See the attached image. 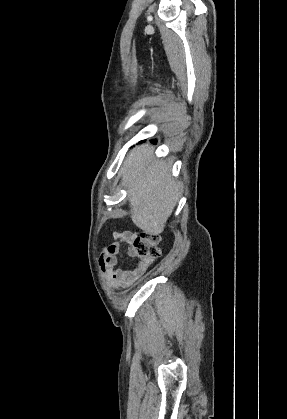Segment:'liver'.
Segmentation results:
<instances>
[{"label":"liver","mask_w":287,"mask_h":419,"mask_svg":"<svg viewBox=\"0 0 287 419\" xmlns=\"http://www.w3.org/2000/svg\"><path fill=\"white\" fill-rule=\"evenodd\" d=\"M153 153L154 148L148 144L133 149L119 174L128 190L133 223L156 236L163 232L182 192L170 176L171 163L155 160Z\"/></svg>","instance_id":"6515ba94"}]
</instances>
